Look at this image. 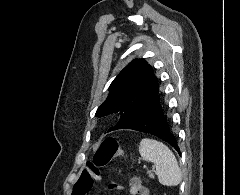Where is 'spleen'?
<instances>
[{"label":"spleen","mask_w":240,"mask_h":195,"mask_svg":"<svg viewBox=\"0 0 240 195\" xmlns=\"http://www.w3.org/2000/svg\"><path fill=\"white\" fill-rule=\"evenodd\" d=\"M139 153L142 159L155 163L157 177L162 185L180 183L181 169L173 151L165 143L144 137L139 143Z\"/></svg>","instance_id":"3e777b00"}]
</instances>
